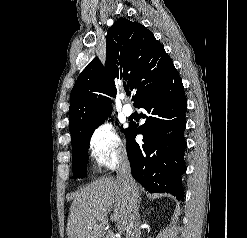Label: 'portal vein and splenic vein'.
Here are the masks:
<instances>
[{
	"label": "portal vein and splenic vein",
	"mask_w": 247,
	"mask_h": 238,
	"mask_svg": "<svg viewBox=\"0 0 247 238\" xmlns=\"http://www.w3.org/2000/svg\"><path fill=\"white\" fill-rule=\"evenodd\" d=\"M106 238H115V234L112 231H109Z\"/></svg>",
	"instance_id": "18ae733b"
}]
</instances>
